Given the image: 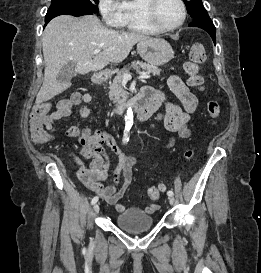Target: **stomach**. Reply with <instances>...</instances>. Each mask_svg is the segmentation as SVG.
I'll return each instance as SVG.
<instances>
[{
    "instance_id": "obj_1",
    "label": "stomach",
    "mask_w": 261,
    "mask_h": 273,
    "mask_svg": "<svg viewBox=\"0 0 261 273\" xmlns=\"http://www.w3.org/2000/svg\"><path fill=\"white\" fill-rule=\"evenodd\" d=\"M137 51L143 60L155 66L164 65L174 58V51L171 45L161 38L139 41Z\"/></svg>"
}]
</instances>
